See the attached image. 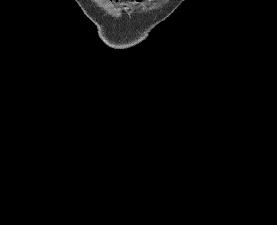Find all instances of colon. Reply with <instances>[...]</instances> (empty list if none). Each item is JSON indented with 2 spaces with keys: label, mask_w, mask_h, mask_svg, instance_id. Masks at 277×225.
Instances as JSON below:
<instances>
[{
  "label": "colon",
  "mask_w": 277,
  "mask_h": 225,
  "mask_svg": "<svg viewBox=\"0 0 277 225\" xmlns=\"http://www.w3.org/2000/svg\"><path fill=\"white\" fill-rule=\"evenodd\" d=\"M113 2H118V0H112Z\"/></svg>",
  "instance_id": "1"
}]
</instances>
